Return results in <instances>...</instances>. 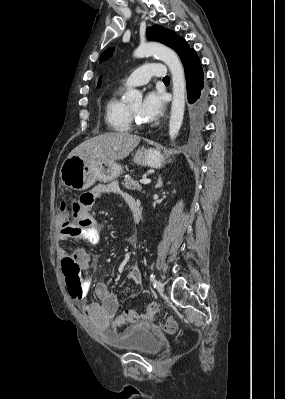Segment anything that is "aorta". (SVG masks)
Instances as JSON below:
<instances>
[{"label":"aorta","instance_id":"aorta-1","mask_svg":"<svg viewBox=\"0 0 285 399\" xmlns=\"http://www.w3.org/2000/svg\"><path fill=\"white\" fill-rule=\"evenodd\" d=\"M133 55L136 58L156 56L168 66L171 72L173 100L169 121V137L174 140L182 126L185 109L186 81L182 63L175 51L157 42L141 43ZM141 100L142 93L135 89L129 90L125 95V101L128 103Z\"/></svg>","mask_w":285,"mask_h":399}]
</instances>
